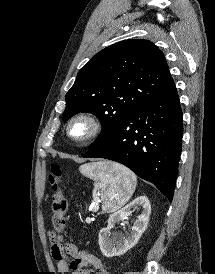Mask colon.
Returning a JSON list of instances; mask_svg holds the SVG:
<instances>
[{
	"label": "colon",
	"mask_w": 215,
	"mask_h": 274,
	"mask_svg": "<svg viewBox=\"0 0 215 274\" xmlns=\"http://www.w3.org/2000/svg\"><path fill=\"white\" fill-rule=\"evenodd\" d=\"M62 171L59 165L52 164L51 172L49 175V183L53 189L52 197V225L55 230L50 233V239L54 241H61L59 233L61 232L64 222L65 213L68 208L66 194L61 185Z\"/></svg>",
	"instance_id": "5ec220e1"
}]
</instances>
